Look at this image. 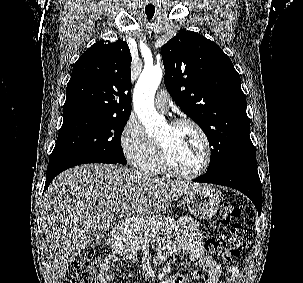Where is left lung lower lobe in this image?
Wrapping results in <instances>:
<instances>
[{
    "label": "left lung lower lobe",
    "instance_id": "obj_1",
    "mask_svg": "<svg viewBox=\"0 0 303 283\" xmlns=\"http://www.w3.org/2000/svg\"><path fill=\"white\" fill-rule=\"evenodd\" d=\"M194 181L218 184L239 190L251 199L258 213L261 214L262 185L258 175L256 156L243 159L218 171L206 173Z\"/></svg>",
    "mask_w": 303,
    "mask_h": 283
}]
</instances>
